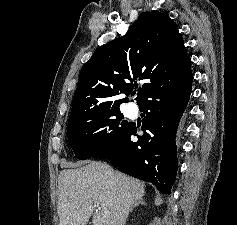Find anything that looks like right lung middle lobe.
Instances as JSON below:
<instances>
[{
	"label": "right lung middle lobe",
	"instance_id": "right-lung-middle-lobe-1",
	"mask_svg": "<svg viewBox=\"0 0 237 225\" xmlns=\"http://www.w3.org/2000/svg\"><path fill=\"white\" fill-rule=\"evenodd\" d=\"M119 109L68 123L67 137L76 158L84 160L111 147L129 127Z\"/></svg>",
	"mask_w": 237,
	"mask_h": 225
}]
</instances>
